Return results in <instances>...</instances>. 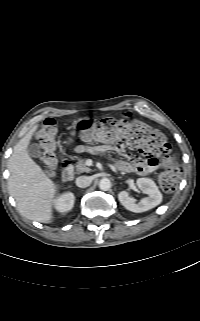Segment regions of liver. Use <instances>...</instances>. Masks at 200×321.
<instances>
[{
    "mask_svg": "<svg viewBox=\"0 0 200 321\" xmlns=\"http://www.w3.org/2000/svg\"><path fill=\"white\" fill-rule=\"evenodd\" d=\"M37 125L15 145L8 160V189L19 213L30 220L50 223L57 185L28 154L27 148Z\"/></svg>",
    "mask_w": 200,
    "mask_h": 321,
    "instance_id": "1",
    "label": "liver"
}]
</instances>
